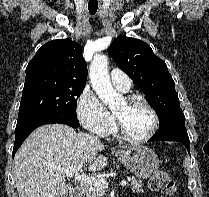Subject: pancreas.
<instances>
[{
  "instance_id": "1",
  "label": "pancreas",
  "mask_w": 209,
  "mask_h": 197,
  "mask_svg": "<svg viewBox=\"0 0 209 197\" xmlns=\"http://www.w3.org/2000/svg\"><path fill=\"white\" fill-rule=\"evenodd\" d=\"M131 188L134 193L143 192L142 181L140 179L132 177ZM84 192L86 194V197H102L105 194V189L95 185L87 184L84 187Z\"/></svg>"
}]
</instances>
